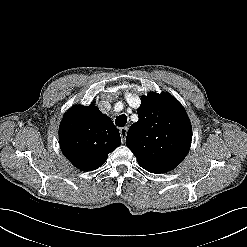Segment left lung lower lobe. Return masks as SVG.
Returning <instances> with one entry per match:
<instances>
[{"instance_id":"0a47b994","label":"left lung lower lobe","mask_w":247,"mask_h":247,"mask_svg":"<svg viewBox=\"0 0 247 247\" xmlns=\"http://www.w3.org/2000/svg\"><path fill=\"white\" fill-rule=\"evenodd\" d=\"M149 172L156 173V174H158V173H164V172H156V171H149Z\"/></svg>"}]
</instances>
